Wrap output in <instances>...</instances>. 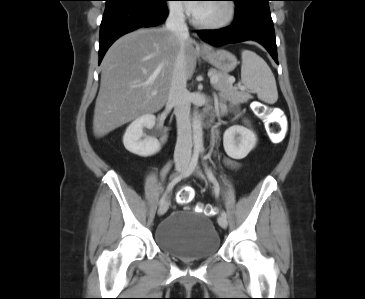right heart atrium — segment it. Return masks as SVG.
Segmentation results:
<instances>
[{
  "label": "right heart atrium",
  "mask_w": 365,
  "mask_h": 299,
  "mask_svg": "<svg viewBox=\"0 0 365 299\" xmlns=\"http://www.w3.org/2000/svg\"><path fill=\"white\" fill-rule=\"evenodd\" d=\"M168 10L170 14L177 19H183L186 15L183 4L178 0H170L168 3Z\"/></svg>",
  "instance_id": "d8ad5b80"
}]
</instances>
